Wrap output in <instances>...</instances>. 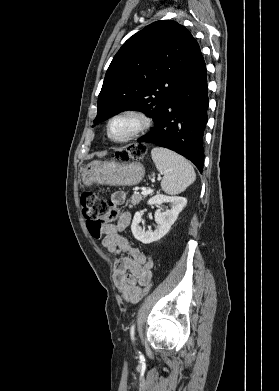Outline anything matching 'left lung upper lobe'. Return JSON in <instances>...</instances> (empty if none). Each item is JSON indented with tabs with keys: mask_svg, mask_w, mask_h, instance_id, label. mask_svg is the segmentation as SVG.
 Instances as JSON below:
<instances>
[{
	"mask_svg": "<svg viewBox=\"0 0 279 391\" xmlns=\"http://www.w3.org/2000/svg\"><path fill=\"white\" fill-rule=\"evenodd\" d=\"M202 54L191 33L175 21H156L131 36L114 56L98 96L94 123L122 111L159 114Z\"/></svg>",
	"mask_w": 279,
	"mask_h": 391,
	"instance_id": "obj_1",
	"label": "left lung upper lobe"
}]
</instances>
